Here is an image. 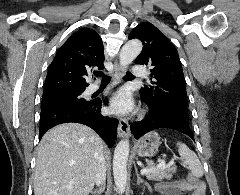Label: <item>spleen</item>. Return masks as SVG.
<instances>
[{
	"mask_svg": "<svg viewBox=\"0 0 240 195\" xmlns=\"http://www.w3.org/2000/svg\"><path fill=\"white\" fill-rule=\"evenodd\" d=\"M176 145L181 159H184L185 163L189 165L192 175H195V177H202L204 173L202 163L199 161L195 151L189 149L188 145H186V143H181V141H177Z\"/></svg>",
	"mask_w": 240,
	"mask_h": 195,
	"instance_id": "1",
	"label": "spleen"
}]
</instances>
